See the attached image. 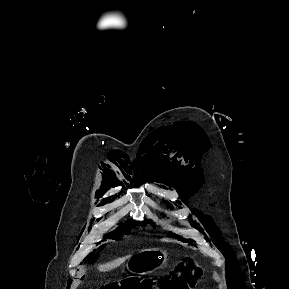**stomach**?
I'll use <instances>...</instances> for the list:
<instances>
[{"label":"stomach","instance_id":"stomach-1","mask_svg":"<svg viewBox=\"0 0 289 289\" xmlns=\"http://www.w3.org/2000/svg\"><path fill=\"white\" fill-rule=\"evenodd\" d=\"M166 258L167 253L164 250L145 249L128 259L126 269L133 274H149L164 265Z\"/></svg>","mask_w":289,"mask_h":289}]
</instances>
